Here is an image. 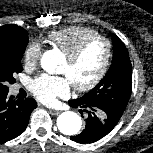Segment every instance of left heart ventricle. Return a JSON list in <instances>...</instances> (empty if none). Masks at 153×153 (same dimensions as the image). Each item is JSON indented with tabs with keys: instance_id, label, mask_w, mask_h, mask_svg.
Here are the masks:
<instances>
[{
	"instance_id": "left-heart-ventricle-1",
	"label": "left heart ventricle",
	"mask_w": 153,
	"mask_h": 153,
	"mask_svg": "<svg viewBox=\"0 0 153 153\" xmlns=\"http://www.w3.org/2000/svg\"><path fill=\"white\" fill-rule=\"evenodd\" d=\"M105 56V43L96 41L88 46L76 62L70 63L65 59L61 73L68 77L72 85H84L96 76Z\"/></svg>"
}]
</instances>
